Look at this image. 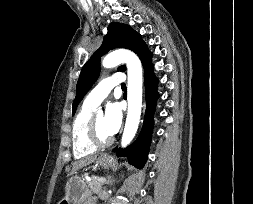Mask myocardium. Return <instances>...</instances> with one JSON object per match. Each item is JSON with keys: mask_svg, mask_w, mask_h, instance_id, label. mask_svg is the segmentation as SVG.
Instances as JSON below:
<instances>
[{"mask_svg": "<svg viewBox=\"0 0 253 204\" xmlns=\"http://www.w3.org/2000/svg\"><path fill=\"white\" fill-rule=\"evenodd\" d=\"M88 136L90 141L98 148L109 146L113 142V137L102 138L97 130L95 116H92L88 126Z\"/></svg>", "mask_w": 253, "mask_h": 204, "instance_id": "1", "label": "myocardium"}]
</instances>
